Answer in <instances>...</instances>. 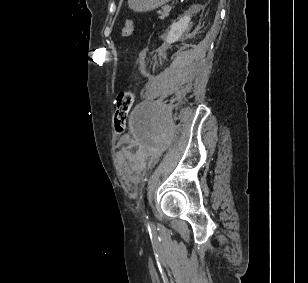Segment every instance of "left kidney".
<instances>
[{
	"mask_svg": "<svg viewBox=\"0 0 308 283\" xmlns=\"http://www.w3.org/2000/svg\"><path fill=\"white\" fill-rule=\"evenodd\" d=\"M197 9H199L198 6L192 7V11L190 13L185 14L177 22L172 23L165 38L167 43H174L178 41L182 37L183 33L189 30L192 14Z\"/></svg>",
	"mask_w": 308,
	"mask_h": 283,
	"instance_id": "left-kidney-1",
	"label": "left kidney"
}]
</instances>
